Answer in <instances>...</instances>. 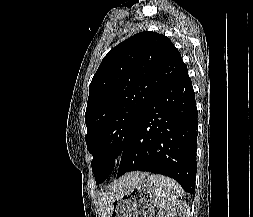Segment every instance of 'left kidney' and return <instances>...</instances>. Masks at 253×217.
<instances>
[{"instance_id":"left-kidney-1","label":"left kidney","mask_w":253,"mask_h":217,"mask_svg":"<svg viewBox=\"0 0 253 217\" xmlns=\"http://www.w3.org/2000/svg\"><path fill=\"white\" fill-rule=\"evenodd\" d=\"M158 217H190V207L182 201H175L162 209Z\"/></svg>"}]
</instances>
